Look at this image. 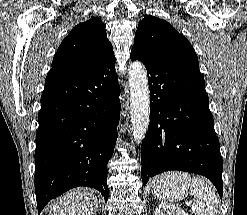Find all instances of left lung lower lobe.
<instances>
[{
	"label": "left lung lower lobe",
	"mask_w": 247,
	"mask_h": 215,
	"mask_svg": "<svg viewBox=\"0 0 247 215\" xmlns=\"http://www.w3.org/2000/svg\"><path fill=\"white\" fill-rule=\"evenodd\" d=\"M130 57L145 64L150 88L151 117L141 145L143 184L164 171L192 172L211 180L222 198V157L203 75L138 51Z\"/></svg>",
	"instance_id": "left-lung-lower-lobe-1"
}]
</instances>
